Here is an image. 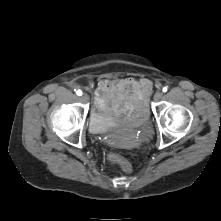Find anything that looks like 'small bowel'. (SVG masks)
Instances as JSON below:
<instances>
[{
  "mask_svg": "<svg viewBox=\"0 0 221 221\" xmlns=\"http://www.w3.org/2000/svg\"><path fill=\"white\" fill-rule=\"evenodd\" d=\"M151 90L152 82L147 78L102 79L95 91L96 104L105 112L139 114L145 111L143 102Z\"/></svg>",
  "mask_w": 221,
  "mask_h": 221,
  "instance_id": "1",
  "label": "small bowel"
}]
</instances>
